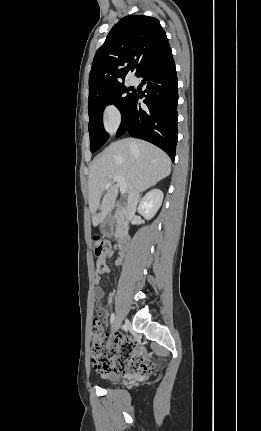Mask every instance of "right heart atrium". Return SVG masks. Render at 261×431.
<instances>
[{
  "instance_id": "obj_1",
  "label": "right heart atrium",
  "mask_w": 261,
  "mask_h": 431,
  "mask_svg": "<svg viewBox=\"0 0 261 431\" xmlns=\"http://www.w3.org/2000/svg\"><path fill=\"white\" fill-rule=\"evenodd\" d=\"M121 121V113L116 105L108 104L103 111V123L105 129L112 133L114 132Z\"/></svg>"
}]
</instances>
